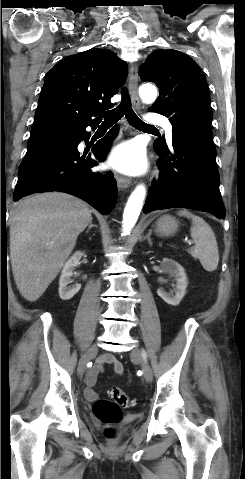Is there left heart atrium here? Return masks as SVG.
Returning a JSON list of instances; mask_svg holds the SVG:
<instances>
[{
    "label": "left heart atrium",
    "instance_id": "left-heart-atrium-1",
    "mask_svg": "<svg viewBox=\"0 0 245 479\" xmlns=\"http://www.w3.org/2000/svg\"><path fill=\"white\" fill-rule=\"evenodd\" d=\"M108 164L125 174H140L146 169L144 150L135 142H126L114 149Z\"/></svg>",
    "mask_w": 245,
    "mask_h": 479
}]
</instances>
